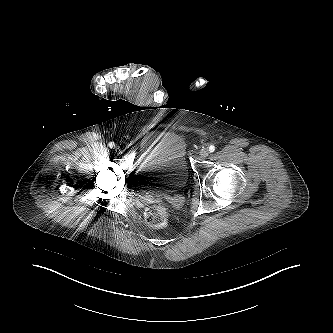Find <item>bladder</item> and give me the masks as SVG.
Instances as JSON below:
<instances>
[{
    "label": "bladder",
    "instance_id": "bladder-1",
    "mask_svg": "<svg viewBox=\"0 0 333 333\" xmlns=\"http://www.w3.org/2000/svg\"><path fill=\"white\" fill-rule=\"evenodd\" d=\"M189 178L187 142L178 132L163 134L140 160L133 181L138 192L164 196L181 190Z\"/></svg>",
    "mask_w": 333,
    "mask_h": 333
}]
</instances>
